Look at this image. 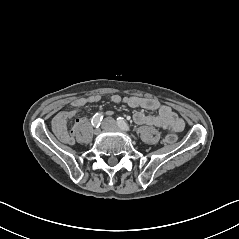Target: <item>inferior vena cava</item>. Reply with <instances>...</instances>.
Instances as JSON below:
<instances>
[{
  "label": "inferior vena cava",
  "mask_w": 239,
  "mask_h": 239,
  "mask_svg": "<svg viewBox=\"0 0 239 239\" xmlns=\"http://www.w3.org/2000/svg\"><path fill=\"white\" fill-rule=\"evenodd\" d=\"M101 127L104 131L106 132H111L115 129L116 127V122L113 118L111 117H106L102 120L101 122Z\"/></svg>",
  "instance_id": "inferior-vena-cava-1"
}]
</instances>
